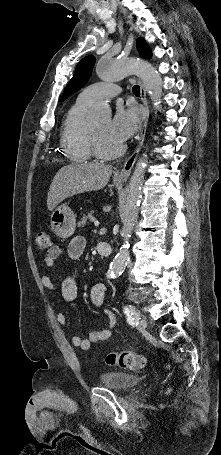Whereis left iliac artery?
I'll use <instances>...</instances> for the list:
<instances>
[{
    "mask_svg": "<svg viewBox=\"0 0 221 455\" xmlns=\"http://www.w3.org/2000/svg\"><path fill=\"white\" fill-rule=\"evenodd\" d=\"M123 312L127 316V321L129 324H135L138 323V320L140 319V312L138 309L135 307L129 305L123 307Z\"/></svg>",
    "mask_w": 221,
    "mask_h": 455,
    "instance_id": "44dca946",
    "label": "left iliac artery"
}]
</instances>
